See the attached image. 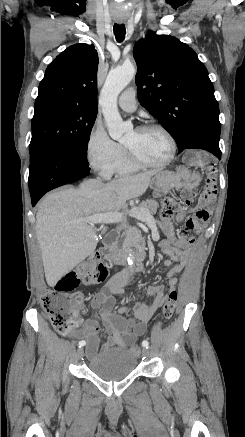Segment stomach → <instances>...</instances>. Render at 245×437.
Listing matches in <instances>:
<instances>
[{"label": "stomach", "mask_w": 245, "mask_h": 437, "mask_svg": "<svg viewBox=\"0 0 245 437\" xmlns=\"http://www.w3.org/2000/svg\"><path fill=\"white\" fill-rule=\"evenodd\" d=\"M191 174L185 168H178L175 172L158 171L151 179V188L155 198L162 197L172 188L181 189L191 184Z\"/></svg>", "instance_id": "stomach-1"}]
</instances>
